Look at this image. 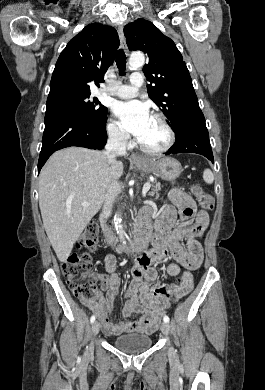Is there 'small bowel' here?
I'll list each match as a JSON object with an SVG mask.
<instances>
[{"instance_id":"c3829d8e","label":"small bowel","mask_w":265,"mask_h":390,"mask_svg":"<svg viewBox=\"0 0 265 390\" xmlns=\"http://www.w3.org/2000/svg\"><path fill=\"white\" fill-rule=\"evenodd\" d=\"M171 204L164 207L158 216L151 235L152 249L136 259L132 268V281L129 287L119 293L120 277L114 255L104 258L106 274L99 276L101 290L106 298L98 296L93 300L83 301L84 305L97 315L102 323L103 332L107 335L126 333H152L166 313L170 299L166 294L173 285L161 284L157 280V271L153 267L156 262L171 258L173 262L167 266L170 276H177L184 268L182 282L178 286L177 298L188 294L193 287L192 271L200 267L203 252L198 238L208 226V214L204 210L197 211L191 196L180 189H173L169 195ZM177 210L180 223L176 224ZM152 208H144L140 214L147 219L153 215ZM185 244V246H184ZM128 299L121 310L120 317H111L114 302L119 297ZM133 314H141L137 321L130 320Z\"/></svg>"}]
</instances>
